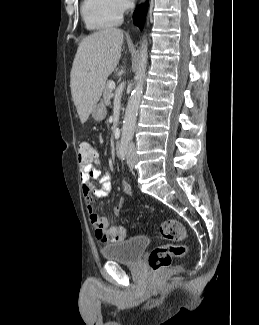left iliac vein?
Segmentation results:
<instances>
[{"instance_id":"4c4485c4","label":"left iliac vein","mask_w":259,"mask_h":325,"mask_svg":"<svg viewBox=\"0 0 259 325\" xmlns=\"http://www.w3.org/2000/svg\"><path fill=\"white\" fill-rule=\"evenodd\" d=\"M134 164H135L134 152L132 150H129L127 154V165L130 168H133Z\"/></svg>"}]
</instances>
